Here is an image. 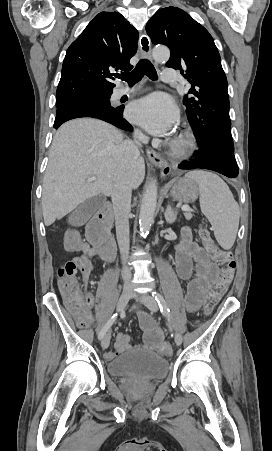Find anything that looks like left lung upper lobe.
Instances as JSON below:
<instances>
[{"mask_svg":"<svg viewBox=\"0 0 272 451\" xmlns=\"http://www.w3.org/2000/svg\"><path fill=\"white\" fill-rule=\"evenodd\" d=\"M146 31L153 44L169 47L167 67L185 71L192 84L184 96L188 121L202 149L215 148L234 156L229 117L227 78L218 49L209 32L177 7L158 10Z\"/></svg>","mask_w":272,"mask_h":451,"instance_id":"1","label":"left lung upper lobe"}]
</instances>
